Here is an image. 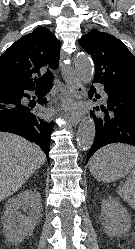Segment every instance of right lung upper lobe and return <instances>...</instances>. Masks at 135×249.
<instances>
[{
  "instance_id": "obj_1",
  "label": "right lung upper lobe",
  "mask_w": 135,
  "mask_h": 249,
  "mask_svg": "<svg viewBox=\"0 0 135 249\" xmlns=\"http://www.w3.org/2000/svg\"><path fill=\"white\" fill-rule=\"evenodd\" d=\"M60 56V43L51 31L37 27L32 33L15 41L0 56V91L33 89L34 75L49 65L56 69Z\"/></svg>"
}]
</instances>
